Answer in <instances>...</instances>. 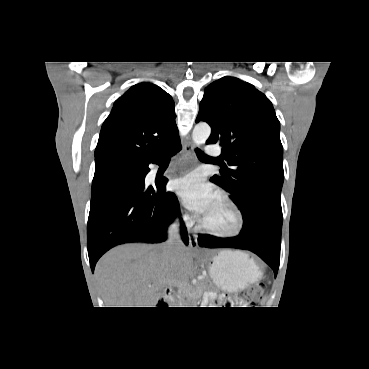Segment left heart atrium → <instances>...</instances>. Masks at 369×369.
I'll use <instances>...</instances> for the list:
<instances>
[{
	"label": "left heart atrium",
	"instance_id": "obj_1",
	"mask_svg": "<svg viewBox=\"0 0 369 369\" xmlns=\"http://www.w3.org/2000/svg\"><path fill=\"white\" fill-rule=\"evenodd\" d=\"M175 190L182 203L193 212L203 216L217 199L211 185L203 182L197 173H190L175 182Z\"/></svg>",
	"mask_w": 369,
	"mask_h": 369
}]
</instances>
